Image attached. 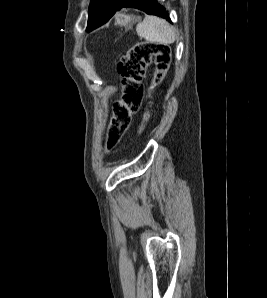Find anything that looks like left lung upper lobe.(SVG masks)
Listing matches in <instances>:
<instances>
[{
  "label": "left lung upper lobe",
  "instance_id": "1",
  "mask_svg": "<svg viewBox=\"0 0 267 298\" xmlns=\"http://www.w3.org/2000/svg\"><path fill=\"white\" fill-rule=\"evenodd\" d=\"M117 0H91L89 7V18L97 15L101 10H106Z\"/></svg>",
  "mask_w": 267,
  "mask_h": 298
}]
</instances>
